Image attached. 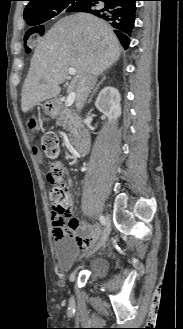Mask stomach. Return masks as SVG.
Instances as JSON below:
<instances>
[{
  "instance_id": "1",
  "label": "stomach",
  "mask_w": 183,
  "mask_h": 329,
  "mask_svg": "<svg viewBox=\"0 0 183 329\" xmlns=\"http://www.w3.org/2000/svg\"><path fill=\"white\" fill-rule=\"evenodd\" d=\"M43 110L47 115L56 114L59 110L58 100L52 99L43 105Z\"/></svg>"
}]
</instances>
